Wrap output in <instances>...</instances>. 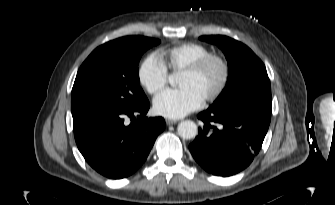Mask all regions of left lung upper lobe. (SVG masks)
Here are the masks:
<instances>
[{"instance_id": "1", "label": "left lung upper lobe", "mask_w": 335, "mask_h": 205, "mask_svg": "<svg viewBox=\"0 0 335 205\" xmlns=\"http://www.w3.org/2000/svg\"><path fill=\"white\" fill-rule=\"evenodd\" d=\"M200 40L216 44L228 61L226 87L210 108L251 106L271 112V87L267 71L252 50L243 43L222 35L201 36Z\"/></svg>"}]
</instances>
